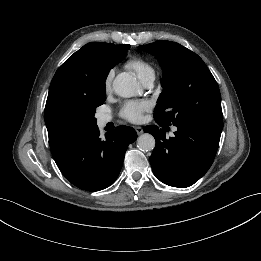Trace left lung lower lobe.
Returning a JSON list of instances; mask_svg holds the SVG:
<instances>
[{
  "label": "left lung lower lobe",
  "mask_w": 261,
  "mask_h": 261,
  "mask_svg": "<svg viewBox=\"0 0 261 261\" xmlns=\"http://www.w3.org/2000/svg\"><path fill=\"white\" fill-rule=\"evenodd\" d=\"M158 125H162L157 123ZM175 136L165 138L156 125L144 128L152 134L156 146L150 157L154 175L173 187H188L198 181L215 158L223 125L177 126Z\"/></svg>",
  "instance_id": "obj_1"
}]
</instances>
